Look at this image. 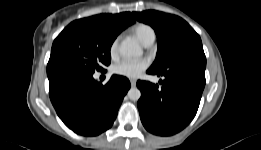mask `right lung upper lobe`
I'll use <instances>...</instances> for the list:
<instances>
[{
  "mask_svg": "<svg viewBox=\"0 0 261 150\" xmlns=\"http://www.w3.org/2000/svg\"><path fill=\"white\" fill-rule=\"evenodd\" d=\"M77 21H87L92 23H97L104 25L113 31L117 32L118 34L124 30L129 25L135 22L132 14L130 12H124L120 14H100L95 15L89 18L80 19Z\"/></svg>",
  "mask_w": 261,
  "mask_h": 150,
  "instance_id": "cb5924a9",
  "label": "right lung upper lobe"
}]
</instances>
